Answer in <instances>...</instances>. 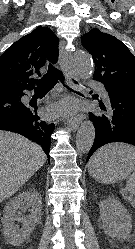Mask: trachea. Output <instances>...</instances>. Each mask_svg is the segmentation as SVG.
Returning a JSON list of instances; mask_svg holds the SVG:
<instances>
[{
	"label": "trachea",
	"mask_w": 135,
	"mask_h": 249,
	"mask_svg": "<svg viewBox=\"0 0 135 249\" xmlns=\"http://www.w3.org/2000/svg\"><path fill=\"white\" fill-rule=\"evenodd\" d=\"M58 79L64 81L63 73L54 66H50L47 73L41 79L34 80L33 82L39 89H50L56 84Z\"/></svg>",
	"instance_id": "1"
}]
</instances>
